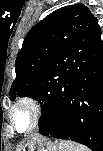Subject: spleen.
Listing matches in <instances>:
<instances>
[{"instance_id":"1","label":"spleen","mask_w":103,"mask_h":151,"mask_svg":"<svg viewBox=\"0 0 103 151\" xmlns=\"http://www.w3.org/2000/svg\"><path fill=\"white\" fill-rule=\"evenodd\" d=\"M60 151H91L86 146L73 142L71 140H62L59 142Z\"/></svg>"}]
</instances>
